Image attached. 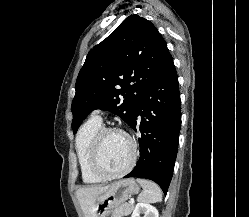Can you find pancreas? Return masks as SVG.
I'll return each mask as SVG.
<instances>
[{
    "instance_id": "1",
    "label": "pancreas",
    "mask_w": 249,
    "mask_h": 217,
    "mask_svg": "<svg viewBox=\"0 0 249 217\" xmlns=\"http://www.w3.org/2000/svg\"><path fill=\"white\" fill-rule=\"evenodd\" d=\"M134 209V204L124 203L119 207L115 208L112 212L111 217H124L131 214L132 210Z\"/></svg>"
}]
</instances>
